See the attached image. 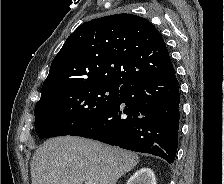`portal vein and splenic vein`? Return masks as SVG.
Here are the masks:
<instances>
[{
  "label": "portal vein and splenic vein",
  "instance_id": "1",
  "mask_svg": "<svg viewBox=\"0 0 224 184\" xmlns=\"http://www.w3.org/2000/svg\"><path fill=\"white\" fill-rule=\"evenodd\" d=\"M85 184H94L92 181H89V182H87V183H85Z\"/></svg>",
  "mask_w": 224,
  "mask_h": 184
}]
</instances>
